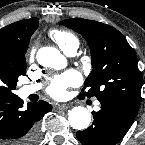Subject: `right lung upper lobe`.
I'll use <instances>...</instances> for the list:
<instances>
[{
	"label": "right lung upper lobe",
	"mask_w": 145,
	"mask_h": 145,
	"mask_svg": "<svg viewBox=\"0 0 145 145\" xmlns=\"http://www.w3.org/2000/svg\"><path fill=\"white\" fill-rule=\"evenodd\" d=\"M38 18L21 20L0 29V53L22 51L28 47L30 38L37 29Z\"/></svg>",
	"instance_id": "right-lung-upper-lobe-1"
}]
</instances>
